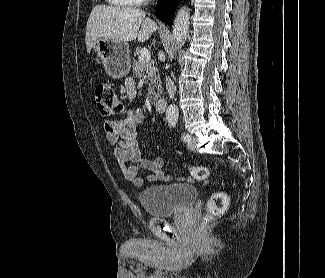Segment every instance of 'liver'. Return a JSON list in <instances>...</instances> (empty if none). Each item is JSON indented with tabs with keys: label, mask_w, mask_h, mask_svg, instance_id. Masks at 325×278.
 <instances>
[{
	"label": "liver",
	"mask_w": 325,
	"mask_h": 278,
	"mask_svg": "<svg viewBox=\"0 0 325 278\" xmlns=\"http://www.w3.org/2000/svg\"><path fill=\"white\" fill-rule=\"evenodd\" d=\"M155 21L135 7L96 5L90 13L86 26V48L90 52L95 41L107 38L120 42L146 41L155 31Z\"/></svg>",
	"instance_id": "liver-1"
}]
</instances>
